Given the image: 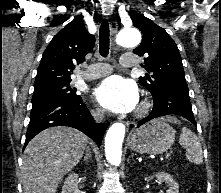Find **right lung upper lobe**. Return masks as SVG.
<instances>
[{"instance_id":"obj_1","label":"right lung upper lobe","mask_w":221,"mask_h":193,"mask_svg":"<svg viewBox=\"0 0 221 193\" xmlns=\"http://www.w3.org/2000/svg\"><path fill=\"white\" fill-rule=\"evenodd\" d=\"M94 44L95 37L86 30L82 17H75L53 37L44 51L34 86L71 81L74 64L82 62Z\"/></svg>"}]
</instances>
